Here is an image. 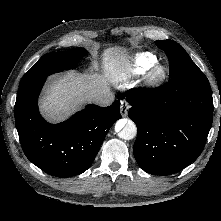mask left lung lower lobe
<instances>
[{
    "label": "left lung lower lobe",
    "instance_id": "obj_1",
    "mask_svg": "<svg viewBox=\"0 0 221 221\" xmlns=\"http://www.w3.org/2000/svg\"><path fill=\"white\" fill-rule=\"evenodd\" d=\"M129 117L137 126L133 152L152 175H170L202 152L213 118L211 87L204 74L173 77L153 89H132Z\"/></svg>",
    "mask_w": 221,
    "mask_h": 221
}]
</instances>
